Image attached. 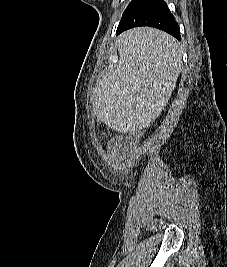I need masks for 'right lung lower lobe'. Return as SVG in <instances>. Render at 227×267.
I'll list each match as a JSON object with an SVG mask.
<instances>
[{"label":"right lung lower lobe","mask_w":227,"mask_h":267,"mask_svg":"<svg viewBox=\"0 0 227 267\" xmlns=\"http://www.w3.org/2000/svg\"><path fill=\"white\" fill-rule=\"evenodd\" d=\"M138 26L155 27L181 40L179 26L164 0H133L123 13L116 34Z\"/></svg>","instance_id":"98d812e1"}]
</instances>
